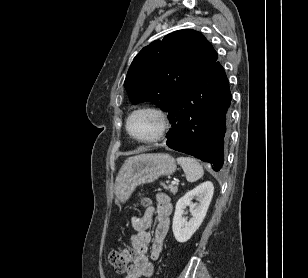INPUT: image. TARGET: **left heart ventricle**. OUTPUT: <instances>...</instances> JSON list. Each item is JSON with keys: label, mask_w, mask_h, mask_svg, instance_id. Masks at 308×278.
I'll use <instances>...</instances> for the list:
<instances>
[{"label": "left heart ventricle", "mask_w": 308, "mask_h": 278, "mask_svg": "<svg viewBox=\"0 0 308 278\" xmlns=\"http://www.w3.org/2000/svg\"><path fill=\"white\" fill-rule=\"evenodd\" d=\"M130 128L133 134L138 138H150L158 132L160 120L152 112H139L132 117Z\"/></svg>", "instance_id": "b2bd125f"}]
</instances>
